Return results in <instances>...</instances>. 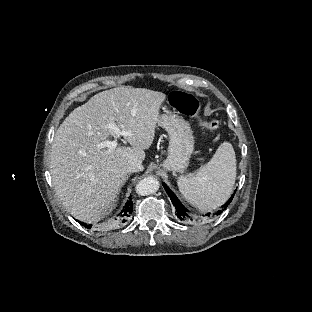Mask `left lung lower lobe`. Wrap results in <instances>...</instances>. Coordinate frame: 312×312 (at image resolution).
Here are the masks:
<instances>
[{"mask_svg": "<svg viewBox=\"0 0 312 312\" xmlns=\"http://www.w3.org/2000/svg\"><path fill=\"white\" fill-rule=\"evenodd\" d=\"M166 192L168 193L172 203L174 204L175 208H176V211H175V214L177 216V218L181 221H185L187 219H190L192 220V217L190 216L189 214V211L188 209H186L182 203L179 201V199L175 196V194L167 187L166 184H163ZM234 195H232V197L229 199V201L222 206V210L226 209L228 204L231 202L232 198H233ZM222 210H218L216 213L213 214L214 215H219L222 213ZM207 217H210L212 216L210 213H207L206 214Z\"/></svg>", "mask_w": 312, "mask_h": 312, "instance_id": "1", "label": "left lung lower lobe"}]
</instances>
